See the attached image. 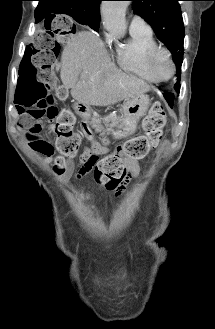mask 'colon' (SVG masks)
I'll return each instance as SVG.
<instances>
[{"label": "colon", "mask_w": 215, "mask_h": 329, "mask_svg": "<svg viewBox=\"0 0 215 329\" xmlns=\"http://www.w3.org/2000/svg\"><path fill=\"white\" fill-rule=\"evenodd\" d=\"M69 14H47L43 25H34L25 55H17L16 61L22 62L17 67L20 81L15 83L18 92L16 102L21 118L28 121L32 127L21 125L26 132L36 135L34 147L41 152L51 153L52 144L40 136L41 126L37 121L48 118L53 121L52 128L56 134L57 156L53 169L57 174L67 170L69 161L79 150L81 138L73 130L74 115L70 109H58L55 105L51 89L55 81L61 80L60 74L54 73V64L62 49V43L74 37V32H80V25H73ZM166 123V113L160 103L151 106L148 115L142 123L144 133L134 137L117 150L103 158L90 155L82 158L80 174L91 172L95 182L108 188L117 187L126 177L123 161L126 159H142L148 152L156 148L162 138V130Z\"/></svg>", "instance_id": "1"}]
</instances>
